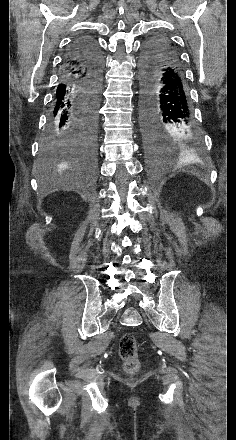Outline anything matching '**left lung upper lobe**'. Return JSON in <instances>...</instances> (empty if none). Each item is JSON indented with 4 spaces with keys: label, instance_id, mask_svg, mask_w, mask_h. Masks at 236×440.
I'll use <instances>...</instances> for the list:
<instances>
[{
    "label": "left lung upper lobe",
    "instance_id": "1",
    "mask_svg": "<svg viewBox=\"0 0 236 440\" xmlns=\"http://www.w3.org/2000/svg\"><path fill=\"white\" fill-rule=\"evenodd\" d=\"M165 53L177 55L174 46L168 38L164 36H155L145 44L141 57V64L144 62L156 61Z\"/></svg>",
    "mask_w": 236,
    "mask_h": 440
}]
</instances>
